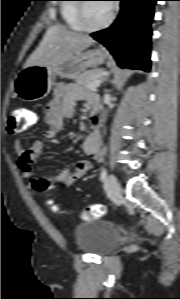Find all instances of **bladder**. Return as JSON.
Returning <instances> with one entry per match:
<instances>
[{
    "label": "bladder",
    "instance_id": "1",
    "mask_svg": "<svg viewBox=\"0 0 180 299\" xmlns=\"http://www.w3.org/2000/svg\"><path fill=\"white\" fill-rule=\"evenodd\" d=\"M76 247L92 255L112 252L120 242L117 228L105 219L82 221L73 231Z\"/></svg>",
    "mask_w": 180,
    "mask_h": 299
}]
</instances>
